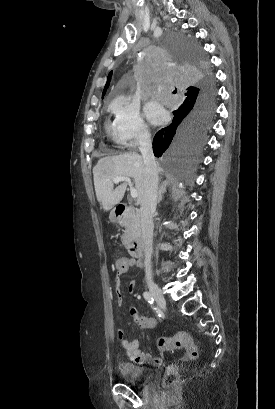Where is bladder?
Returning <instances> with one entry per match:
<instances>
[{
    "mask_svg": "<svg viewBox=\"0 0 275 409\" xmlns=\"http://www.w3.org/2000/svg\"><path fill=\"white\" fill-rule=\"evenodd\" d=\"M118 370L121 380H123L127 385L141 387L143 382L152 381V368H144L135 362H122L119 365Z\"/></svg>",
    "mask_w": 275,
    "mask_h": 409,
    "instance_id": "31cf9c89",
    "label": "bladder"
}]
</instances>
